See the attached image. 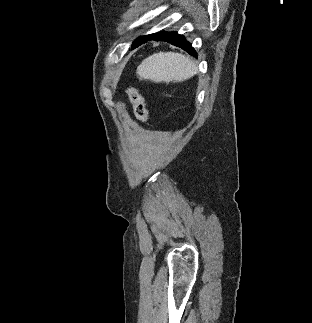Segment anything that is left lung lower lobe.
Here are the masks:
<instances>
[{
    "instance_id": "obj_1",
    "label": "left lung lower lobe",
    "mask_w": 312,
    "mask_h": 323,
    "mask_svg": "<svg viewBox=\"0 0 312 323\" xmlns=\"http://www.w3.org/2000/svg\"><path fill=\"white\" fill-rule=\"evenodd\" d=\"M148 40L167 41L177 47L182 48L192 56H195V57L197 56V53L195 52L194 48L191 46V43L187 42L184 36L179 35L176 32H159V33L150 34L145 36L141 43Z\"/></svg>"
}]
</instances>
